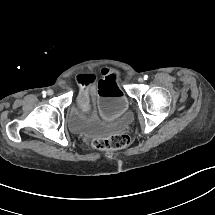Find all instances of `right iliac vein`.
<instances>
[{"mask_svg":"<svg viewBox=\"0 0 215 215\" xmlns=\"http://www.w3.org/2000/svg\"><path fill=\"white\" fill-rule=\"evenodd\" d=\"M53 93H54L53 90H48L47 91V95H49V96L53 95Z\"/></svg>","mask_w":215,"mask_h":215,"instance_id":"right-iliac-vein-1","label":"right iliac vein"}]
</instances>
